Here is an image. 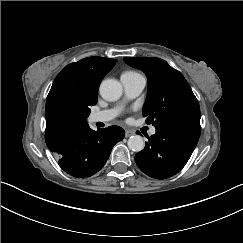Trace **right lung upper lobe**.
<instances>
[{"mask_svg": "<svg viewBox=\"0 0 243 243\" xmlns=\"http://www.w3.org/2000/svg\"><path fill=\"white\" fill-rule=\"evenodd\" d=\"M116 59L88 57L64 67L55 78L46 100V144L66 131L85 125L73 116L83 102H97L98 88Z\"/></svg>", "mask_w": 243, "mask_h": 243, "instance_id": "right-lung-upper-lobe-1", "label": "right lung upper lobe"}]
</instances>
